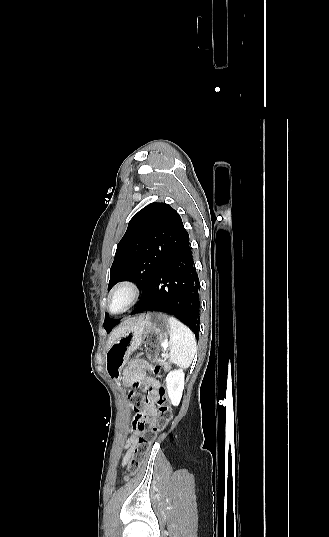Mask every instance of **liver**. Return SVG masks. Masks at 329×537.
<instances>
[{
    "mask_svg": "<svg viewBox=\"0 0 329 537\" xmlns=\"http://www.w3.org/2000/svg\"><path fill=\"white\" fill-rule=\"evenodd\" d=\"M133 321L134 319L129 318L111 332L110 337L108 338L107 348H109L115 342V340L132 325Z\"/></svg>",
    "mask_w": 329,
    "mask_h": 537,
    "instance_id": "obj_1",
    "label": "liver"
}]
</instances>
